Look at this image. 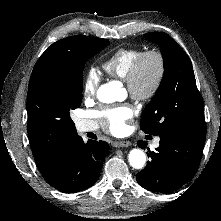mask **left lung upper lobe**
Instances as JSON below:
<instances>
[{"instance_id":"5c2ea615","label":"left lung upper lobe","mask_w":221,"mask_h":221,"mask_svg":"<svg viewBox=\"0 0 221 221\" xmlns=\"http://www.w3.org/2000/svg\"><path fill=\"white\" fill-rule=\"evenodd\" d=\"M144 37L159 44L164 75L143 111L141 129L146 134L159 136L172 131L206 133L203 100L188 56L163 32L146 33Z\"/></svg>"}]
</instances>
